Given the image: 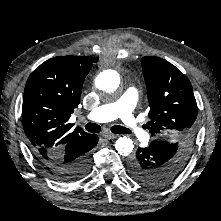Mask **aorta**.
Listing matches in <instances>:
<instances>
[{
  "label": "aorta",
  "mask_w": 221,
  "mask_h": 221,
  "mask_svg": "<svg viewBox=\"0 0 221 221\" xmlns=\"http://www.w3.org/2000/svg\"><path fill=\"white\" fill-rule=\"evenodd\" d=\"M119 83V75L115 70H105L95 80L98 89L110 94L117 91ZM115 148L120 155L128 156L133 151L134 144L132 139L124 136L117 139Z\"/></svg>",
  "instance_id": "1"
}]
</instances>
